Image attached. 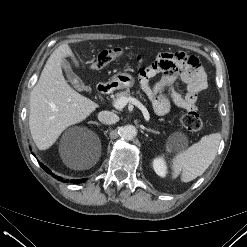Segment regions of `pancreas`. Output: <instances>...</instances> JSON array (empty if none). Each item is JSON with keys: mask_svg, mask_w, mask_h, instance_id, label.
<instances>
[{"mask_svg": "<svg viewBox=\"0 0 247 247\" xmlns=\"http://www.w3.org/2000/svg\"><path fill=\"white\" fill-rule=\"evenodd\" d=\"M131 94H133V93H131L130 92V90L129 89H126V90H124V91H121V92H119V93H116L115 94V100L116 99H119V98H121V97H131ZM142 98V97H141Z\"/></svg>", "mask_w": 247, "mask_h": 247, "instance_id": "1", "label": "pancreas"}]
</instances>
